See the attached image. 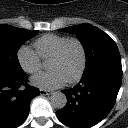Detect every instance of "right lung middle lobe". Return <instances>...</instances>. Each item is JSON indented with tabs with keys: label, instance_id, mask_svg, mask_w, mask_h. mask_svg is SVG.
I'll use <instances>...</instances> for the list:
<instances>
[{
	"label": "right lung middle lobe",
	"instance_id": "1",
	"mask_svg": "<svg viewBox=\"0 0 128 128\" xmlns=\"http://www.w3.org/2000/svg\"><path fill=\"white\" fill-rule=\"evenodd\" d=\"M37 32L0 25V73L17 74L23 71L17 52L21 45L35 36Z\"/></svg>",
	"mask_w": 128,
	"mask_h": 128
}]
</instances>
